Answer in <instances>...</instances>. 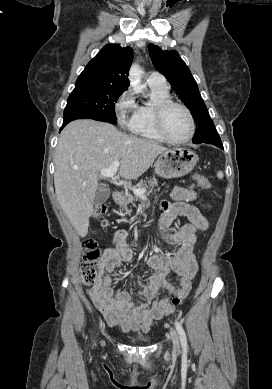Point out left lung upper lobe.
Wrapping results in <instances>:
<instances>
[{
  "mask_svg": "<svg viewBox=\"0 0 272 389\" xmlns=\"http://www.w3.org/2000/svg\"><path fill=\"white\" fill-rule=\"evenodd\" d=\"M148 49L153 65L167 78L194 118L196 132L193 143H200L217 132L197 83L179 54L176 51H162L154 44H149Z\"/></svg>",
  "mask_w": 272,
  "mask_h": 389,
  "instance_id": "5c2ea615",
  "label": "left lung upper lobe"
}]
</instances>
